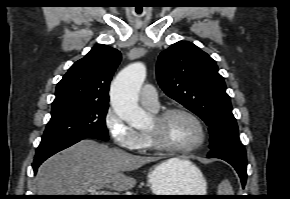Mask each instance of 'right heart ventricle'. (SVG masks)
I'll use <instances>...</instances> for the list:
<instances>
[{"mask_svg": "<svg viewBox=\"0 0 290 199\" xmlns=\"http://www.w3.org/2000/svg\"><path fill=\"white\" fill-rule=\"evenodd\" d=\"M138 150L141 152H147V151L153 150L151 148L149 139L145 133H140V146Z\"/></svg>", "mask_w": 290, "mask_h": 199, "instance_id": "e07e8e85", "label": "right heart ventricle"}]
</instances>
